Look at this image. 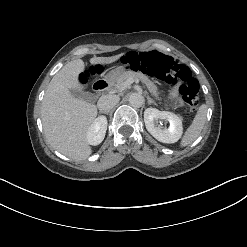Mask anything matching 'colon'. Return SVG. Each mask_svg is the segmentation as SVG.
I'll use <instances>...</instances> for the list:
<instances>
[{
	"instance_id": "5ec220e1",
	"label": "colon",
	"mask_w": 247,
	"mask_h": 247,
	"mask_svg": "<svg viewBox=\"0 0 247 247\" xmlns=\"http://www.w3.org/2000/svg\"><path fill=\"white\" fill-rule=\"evenodd\" d=\"M121 62L130 69L141 71L171 85L179 84V92L190 110L194 111L198 107L200 102L198 80L192 76L187 66L172 57L157 51L129 52L122 57ZM100 72V67L92 70V73Z\"/></svg>"
}]
</instances>
